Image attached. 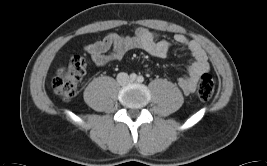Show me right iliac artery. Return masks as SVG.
<instances>
[{
    "label": "right iliac artery",
    "mask_w": 267,
    "mask_h": 166,
    "mask_svg": "<svg viewBox=\"0 0 267 166\" xmlns=\"http://www.w3.org/2000/svg\"><path fill=\"white\" fill-rule=\"evenodd\" d=\"M136 78H137V75H136L135 73H132V74L130 75V79H131L132 81H134Z\"/></svg>",
    "instance_id": "1"
}]
</instances>
